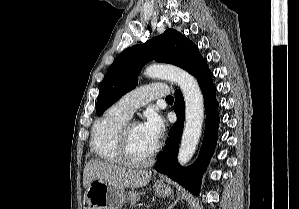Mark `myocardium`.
I'll list each match as a JSON object with an SVG mask.
<instances>
[{
    "mask_svg": "<svg viewBox=\"0 0 299 209\" xmlns=\"http://www.w3.org/2000/svg\"><path fill=\"white\" fill-rule=\"evenodd\" d=\"M134 124L132 122H126L119 132L118 137V154L121 160V163L134 168H142L150 165L154 160L157 152L158 146L156 145L152 152L148 155L147 158L143 160H134L131 158L129 154V129L131 125Z\"/></svg>",
    "mask_w": 299,
    "mask_h": 209,
    "instance_id": "myocardium-1",
    "label": "myocardium"
}]
</instances>
